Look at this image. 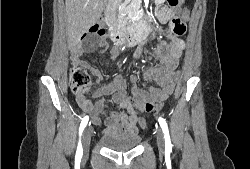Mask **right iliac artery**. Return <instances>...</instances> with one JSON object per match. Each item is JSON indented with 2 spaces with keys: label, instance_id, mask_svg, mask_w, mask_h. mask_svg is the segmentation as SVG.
I'll list each match as a JSON object with an SVG mask.
<instances>
[{
  "label": "right iliac artery",
  "instance_id": "1",
  "mask_svg": "<svg viewBox=\"0 0 250 169\" xmlns=\"http://www.w3.org/2000/svg\"><path fill=\"white\" fill-rule=\"evenodd\" d=\"M88 120H89V117L85 116L81 121L80 128H79V136L80 137L82 135L84 128L86 127V125L88 123ZM82 155H83V149H82L81 140H79L76 155H75V162H80Z\"/></svg>",
  "mask_w": 250,
  "mask_h": 169
}]
</instances>
